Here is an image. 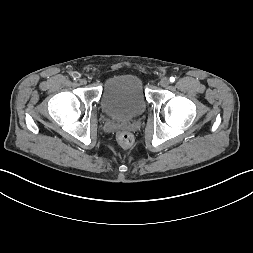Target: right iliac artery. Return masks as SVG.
Wrapping results in <instances>:
<instances>
[{"label": "right iliac artery", "instance_id": "obj_1", "mask_svg": "<svg viewBox=\"0 0 253 253\" xmlns=\"http://www.w3.org/2000/svg\"><path fill=\"white\" fill-rule=\"evenodd\" d=\"M79 77H80L79 74H74V75H73V79H74V80H78Z\"/></svg>", "mask_w": 253, "mask_h": 253}]
</instances>
